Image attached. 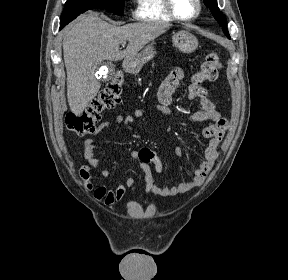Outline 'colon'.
<instances>
[{
    "mask_svg": "<svg viewBox=\"0 0 288 280\" xmlns=\"http://www.w3.org/2000/svg\"><path fill=\"white\" fill-rule=\"evenodd\" d=\"M221 68L217 53H210L200 65L194 76L196 84L211 82L217 79ZM123 76L117 73L114 79L93 98L81 113L70 112L66 115L65 124L68 130L79 136L91 134L101 118V113L114 108L120 102Z\"/></svg>",
    "mask_w": 288,
    "mask_h": 280,
    "instance_id": "5ec220e1",
    "label": "colon"
}]
</instances>
